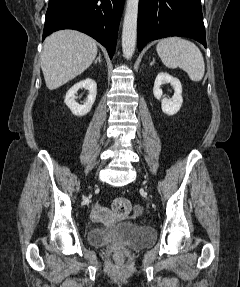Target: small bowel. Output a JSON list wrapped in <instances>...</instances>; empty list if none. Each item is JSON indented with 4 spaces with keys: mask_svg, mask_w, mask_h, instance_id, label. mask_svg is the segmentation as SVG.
<instances>
[{
    "mask_svg": "<svg viewBox=\"0 0 240 287\" xmlns=\"http://www.w3.org/2000/svg\"><path fill=\"white\" fill-rule=\"evenodd\" d=\"M136 211L140 212L141 207L136 206ZM91 216H92V218H94L96 220H104V219H111V218H113L114 215L110 209L103 207V206L96 205L93 207V209L91 211Z\"/></svg>",
    "mask_w": 240,
    "mask_h": 287,
    "instance_id": "c3829d8e",
    "label": "small bowel"
}]
</instances>
